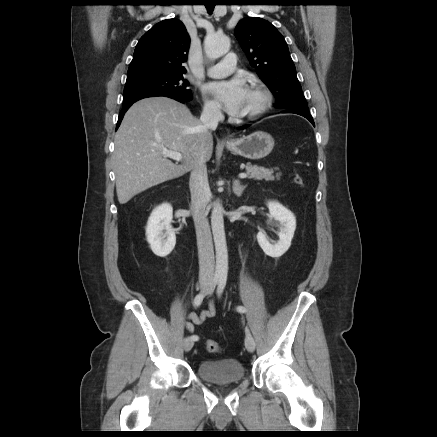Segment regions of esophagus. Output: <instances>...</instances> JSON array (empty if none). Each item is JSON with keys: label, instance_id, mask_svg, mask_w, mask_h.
Segmentation results:
<instances>
[{"label": "esophagus", "instance_id": "1", "mask_svg": "<svg viewBox=\"0 0 437 437\" xmlns=\"http://www.w3.org/2000/svg\"><path fill=\"white\" fill-rule=\"evenodd\" d=\"M231 141V139H227V142H230Z\"/></svg>", "mask_w": 437, "mask_h": 437}]
</instances>
